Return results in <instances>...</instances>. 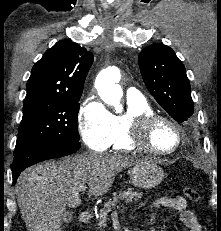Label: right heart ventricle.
<instances>
[{
    "instance_id": "right-heart-ventricle-1",
    "label": "right heart ventricle",
    "mask_w": 221,
    "mask_h": 231,
    "mask_svg": "<svg viewBox=\"0 0 221 231\" xmlns=\"http://www.w3.org/2000/svg\"><path fill=\"white\" fill-rule=\"evenodd\" d=\"M153 112L146 99L127 100V111L123 115L113 117V135L108 147L117 151H134L138 147L133 145L128 137V123L130 120L145 114Z\"/></svg>"
}]
</instances>
